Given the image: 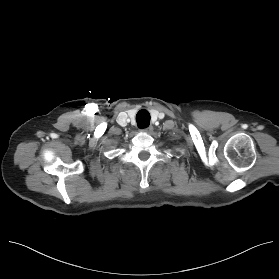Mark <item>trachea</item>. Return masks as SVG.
<instances>
[{"mask_svg":"<svg viewBox=\"0 0 279 279\" xmlns=\"http://www.w3.org/2000/svg\"><path fill=\"white\" fill-rule=\"evenodd\" d=\"M136 121L139 128H146L150 123V114L146 110H140L136 115Z\"/></svg>","mask_w":279,"mask_h":279,"instance_id":"trachea-1","label":"trachea"}]
</instances>
